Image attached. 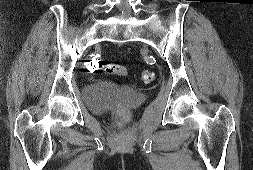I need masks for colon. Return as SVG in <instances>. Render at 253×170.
<instances>
[{
    "label": "colon",
    "mask_w": 253,
    "mask_h": 170,
    "mask_svg": "<svg viewBox=\"0 0 253 170\" xmlns=\"http://www.w3.org/2000/svg\"><path fill=\"white\" fill-rule=\"evenodd\" d=\"M100 70L103 73L110 74V75H116L119 77H123L127 75V69L119 64H113V63H102L100 66ZM156 78V74L151 69H144L141 73V80L145 83L153 82ZM120 128H123V125L120 124Z\"/></svg>",
    "instance_id": "colon-1"
}]
</instances>
